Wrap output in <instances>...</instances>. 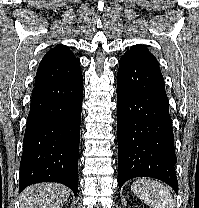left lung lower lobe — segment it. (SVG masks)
Masks as SVG:
<instances>
[{
    "instance_id": "left-lung-lower-lobe-1",
    "label": "left lung lower lobe",
    "mask_w": 199,
    "mask_h": 208,
    "mask_svg": "<svg viewBox=\"0 0 199 208\" xmlns=\"http://www.w3.org/2000/svg\"><path fill=\"white\" fill-rule=\"evenodd\" d=\"M119 188L153 177L178 191L172 120L161 72L123 56L117 73Z\"/></svg>"
}]
</instances>
